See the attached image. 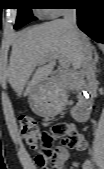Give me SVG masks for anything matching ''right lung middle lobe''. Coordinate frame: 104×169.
<instances>
[{
	"label": "right lung middle lobe",
	"mask_w": 104,
	"mask_h": 169,
	"mask_svg": "<svg viewBox=\"0 0 104 169\" xmlns=\"http://www.w3.org/2000/svg\"><path fill=\"white\" fill-rule=\"evenodd\" d=\"M20 2L19 8H18V14H17V20L16 24L14 26L15 29H18L25 24L29 23L33 19L32 18V8L30 3L28 2L29 0H18Z\"/></svg>",
	"instance_id": "dd1d6c3e"
}]
</instances>
